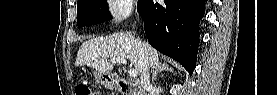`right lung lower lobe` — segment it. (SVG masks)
I'll return each mask as SVG.
<instances>
[{
    "label": "right lung lower lobe",
    "instance_id": "right-lung-lower-lobe-1",
    "mask_svg": "<svg viewBox=\"0 0 277 95\" xmlns=\"http://www.w3.org/2000/svg\"><path fill=\"white\" fill-rule=\"evenodd\" d=\"M205 0H139L138 12L144 21L149 43L175 59L192 75L199 45V23Z\"/></svg>",
    "mask_w": 277,
    "mask_h": 95
}]
</instances>
